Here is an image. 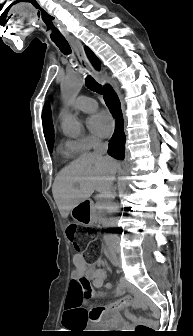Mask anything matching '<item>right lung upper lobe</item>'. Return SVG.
<instances>
[{"label":"right lung upper lobe","instance_id":"1","mask_svg":"<svg viewBox=\"0 0 193 336\" xmlns=\"http://www.w3.org/2000/svg\"><path fill=\"white\" fill-rule=\"evenodd\" d=\"M85 51L89 57V59L91 60V62L94 64V66L96 68H99V63L97 61V58L95 57V55L92 53V51L85 47ZM42 122H43V131H44V135H45V139L46 141H50L53 139V125H52V121H51V114H50V110L49 108H45L43 113H42Z\"/></svg>","mask_w":193,"mask_h":336}]
</instances>
